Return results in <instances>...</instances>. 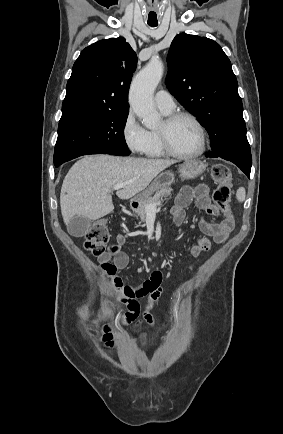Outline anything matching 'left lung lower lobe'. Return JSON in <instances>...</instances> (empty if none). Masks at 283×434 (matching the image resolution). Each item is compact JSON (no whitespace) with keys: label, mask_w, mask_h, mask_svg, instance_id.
Returning <instances> with one entry per match:
<instances>
[{"label":"left lung lower lobe","mask_w":283,"mask_h":434,"mask_svg":"<svg viewBox=\"0 0 283 434\" xmlns=\"http://www.w3.org/2000/svg\"><path fill=\"white\" fill-rule=\"evenodd\" d=\"M206 156L209 157L208 155ZM251 164L252 162H241L237 165L247 175L248 178H250Z\"/></svg>","instance_id":"obj_1"}]
</instances>
